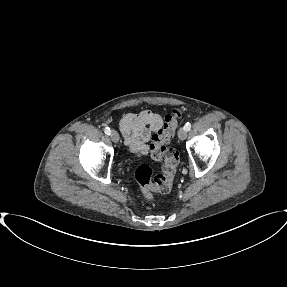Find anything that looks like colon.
Returning a JSON list of instances; mask_svg holds the SVG:
<instances>
[{
  "mask_svg": "<svg viewBox=\"0 0 287 287\" xmlns=\"http://www.w3.org/2000/svg\"><path fill=\"white\" fill-rule=\"evenodd\" d=\"M183 111L176 108L168 114L160 129L151 137V154L154 160L162 163V173L153 176L147 165L139 166L135 171V178L142 195L152 200L154 193H167L171 190L179 163L178 152L168 147L169 142L178 126Z\"/></svg>",
  "mask_w": 287,
  "mask_h": 287,
  "instance_id": "1",
  "label": "colon"
}]
</instances>
